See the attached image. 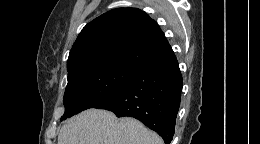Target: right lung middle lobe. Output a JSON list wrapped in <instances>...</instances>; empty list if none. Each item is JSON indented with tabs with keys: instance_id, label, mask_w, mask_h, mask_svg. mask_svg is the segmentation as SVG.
Instances as JSON below:
<instances>
[{
	"instance_id": "right-lung-middle-lobe-1",
	"label": "right lung middle lobe",
	"mask_w": 260,
	"mask_h": 144,
	"mask_svg": "<svg viewBox=\"0 0 260 144\" xmlns=\"http://www.w3.org/2000/svg\"><path fill=\"white\" fill-rule=\"evenodd\" d=\"M135 70L114 65H95L68 74L64 94L65 113L61 121L93 108L118 89Z\"/></svg>"
}]
</instances>
